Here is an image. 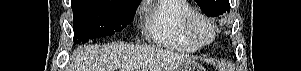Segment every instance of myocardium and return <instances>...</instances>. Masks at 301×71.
I'll return each instance as SVG.
<instances>
[{
    "label": "myocardium",
    "mask_w": 301,
    "mask_h": 71,
    "mask_svg": "<svg viewBox=\"0 0 301 71\" xmlns=\"http://www.w3.org/2000/svg\"><path fill=\"white\" fill-rule=\"evenodd\" d=\"M199 24H204L207 26L210 30V36L207 39H203L200 37L198 33V25ZM185 28L187 34L199 45V46H206L211 44L216 37V28L213 22L211 21L210 18H208L206 15L198 12V11H193L191 12L185 21Z\"/></svg>",
    "instance_id": "f54148a6"
}]
</instances>
